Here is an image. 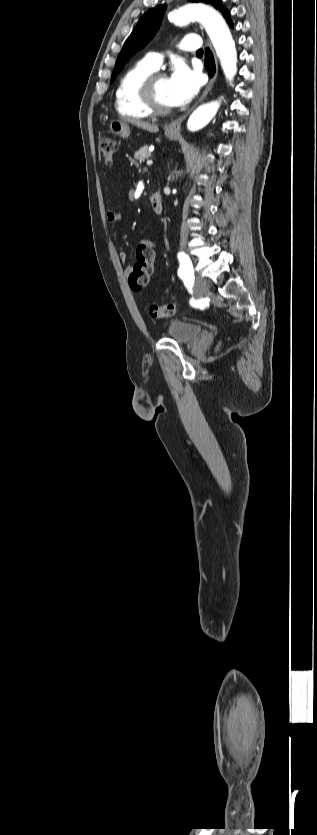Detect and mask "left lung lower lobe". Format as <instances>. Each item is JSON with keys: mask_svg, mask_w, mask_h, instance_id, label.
<instances>
[{"mask_svg": "<svg viewBox=\"0 0 317 835\" xmlns=\"http://www.w3.org/2000/svg\"><path fill=\"white\" fill-rule=\"evenodd\" d=\"M225 18H226L227 22L232 26L229 14H227L225 16ZM205 54H206L205 66L208 69L209 75L212 76L215 72L213 55H212V53L210 52L209 49H206Z\"/></svg>", "mask_w": 317, "mask_h": 835, "instance_id": "0a47b994", "label": "left lung lower lobe"}]
</instances>
